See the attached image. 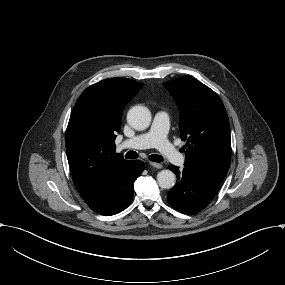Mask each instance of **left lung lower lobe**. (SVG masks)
I'll use <instances>...</instances> for the list:
<instances>
[{"mask_svg":"<svg viewBox=\"0 0 285 285\" xmlns=\"http://www.w3.org/2000/svg\"><path fill=\"white\" fill-rule=\"evenodd\" d=\"M168 168L176 174L177 183L168 192L167 200L179 212H200L211 202L220 188V184L208 181L186 168L182 171L174 165H169Z\"/></svg>","mask_w":285,"mask_h":285,"instance_id":"obj_1","label":"left lung lower lobe"}]
</instances>
